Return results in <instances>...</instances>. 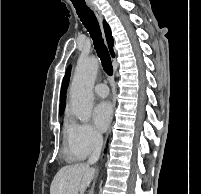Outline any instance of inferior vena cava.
Listing matches in <instances>:
<instances>
[{
    "mask_svg": "<svg viewBox=\"0 0 201 194\" xmlns=\"http://www.w3.org/2000/svg\"><path fill=\"white\" fill-rule=\"evenodd\" d=\"M102 145L103 137L101 135L96 136L92 146V154L88 159L87 165L94 164L98 161L101 154Z\"/></svg>",
    "mask_w": 201,
    "mask_h": 194,
    "instance_id": "inferior-vena-cava-1",
    "label": "inferior vena cava"
}]
</instances>
